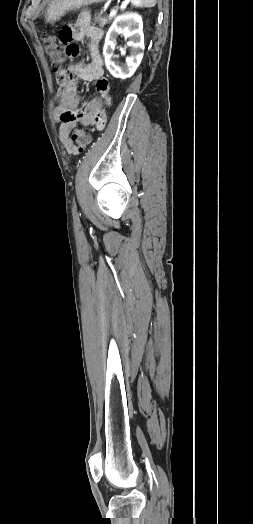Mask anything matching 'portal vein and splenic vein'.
<instances>
[{"label":"portal vein and splenic vein","mask_w":253,"mask_h":524,"mask_svg":"<svg viewBox=\"0 0 253 524\" xmlns=\"http://www.w3.org/2000/svg\"><path fill=\"white\" fill-rule=\"evenodd\" d=\"M127 3H129V0H125L124 2H122L120 8L123 9ZM117 13H118V7H114L113 9H111L109 16L114 17Z\"/></svg>","instance_id":"portal-vein-and-splenic-vein-1"}]
</instances>
